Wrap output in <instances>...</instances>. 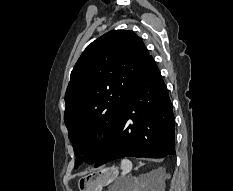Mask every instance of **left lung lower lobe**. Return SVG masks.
Listing matches in <instances>:
<instances>
[{"label":"left lung lower lobe","mask_w":233,"mask_h":191,"mask_svg":"<svg viewBox=\"0 0 233 191\" xmlns=\"http://www.w3.org/2000/svg\"><path fill=\"white\" fill-rule=\"evenodd\" d=\"M172 104L160 71L148 56L123 103L116 127L95 167L123 157L175 155Z\"/></svg>","instance_id":"left-lung-lower-lobe-1"}]
</instances>
